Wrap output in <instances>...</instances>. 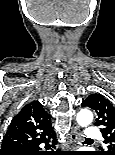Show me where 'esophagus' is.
I'll return each instance as SVG.
<instances>
[{"label": "esophagus", "instance_id": "1", "mask_svg": "<svg viewBox=\"0 0 115 155\" xmlns=\"http://www.w3.org/2000/svg\"><path fill=\"white\" fill-rule=\"evenodd\" d=\"M80 141V129L78 126H75L70 134V149L75 151L79 147Z\"/></svg>", "mask_w": 115, "mask_h": 155}]
</instances>
